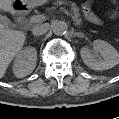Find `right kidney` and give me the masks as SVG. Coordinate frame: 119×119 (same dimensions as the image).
Here are the masks:
<instances>
[{
	"instance_id": "ca27d5eb",
	"label": "right kidney",
	"mask_w": 119,
	"mask_h": 119,
	"mask_svg": "<svg viewBox=\"0 0 119 119\" xmlns=\"http://www.w3.org/2000/svg\"><path fill=\"white\" fill-rule=\"evenodd\" d=\"M37 50L34 47H26L16 56L13 64V73L18 78H23L32 73L36 67Z\"/></svg>"
}]
</instances>
